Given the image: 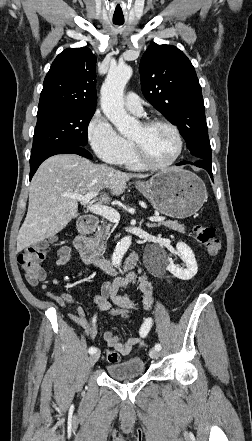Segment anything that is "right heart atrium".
<instances>
[{"mask_svg": "<svg viewBox=\"0 0 252 441\" xmlns=\"http://www.w3.org/2000/svg\"><path fill=\"white\" fill-rule=\"evenodd\" d=\"M86 135L97 157L110 164L121 165L131 148V143L100 111H96L88 122Z\"/></svg>", "mask_w": 252, "mask_h": 441, "instance_id": "obj_1", "label": "right heart atrium"}]
</instances>
